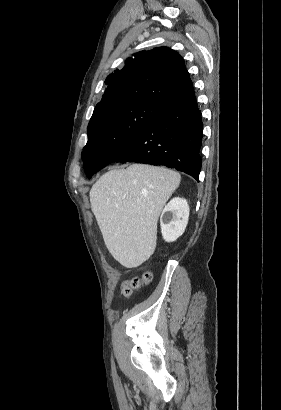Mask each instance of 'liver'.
I'll list each match as a JSON object with an SVG mask.
<instances>
[{
    "label": "liver",
    "mask_w": 281,
    "mask_h": 410,
    "mask_svg": "<svg viewBox=\"0 0 281 410\" xmlns=\"http://www.w3.org/2000/svg\"><path fill=\"white\" fill-rule=\"evenodd\" d=\"M179 173L146 164L113 169L90 190L104 243L121 265L135 268L154 253L159 215L180 184Z\"/></svg>",
    "instance_id": "1"
}]
</instances>
